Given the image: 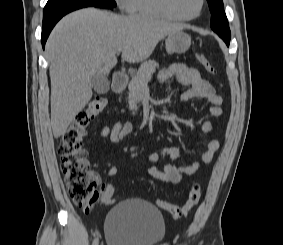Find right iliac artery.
<instances>
[{
  "label": "right iliac artery",
  "instance_id": "1",
  "mask_svg": "<svg viewBox=\"0 0 283 245\" xmlns=\"http://www.w3.org/2000/svg\"><path fill=\"white\" fill-rule=\"evenodd\" d=\"M92 245H98V239H95Z\"/></svg>",
  "mask_w": 283,
  "mask_h": 245
}]
</instances>
